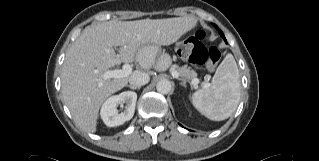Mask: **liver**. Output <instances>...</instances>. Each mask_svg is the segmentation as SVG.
Instances as JSON below:
<instances>
[{"mask_svg":"<svg viewBox=\"0 0 319 161\" xmlns=\"http://www.w3.org/2000/svg\"><path fill=\"white\" fill-rule=\"evenodd\" d=\"M196 24L193 17H175L112 20L86 27L67 51L61 74L63 99L76 124L94 133L102 103L127 85L129 76L105 80L102 77L105 71L134 60L142 68H150L154 63L137 58L143 45L173 44ZM116 46H120L118 54L113 49Z\"/></svg>","mask_w":319,"mask_h":161,"instance_id":"obj_1","label":"liver"}]
</instances>
